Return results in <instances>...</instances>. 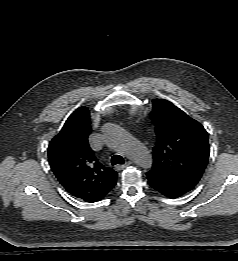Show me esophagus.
<instances>
[{
	"mask_svg": "<svg viewBox=\"0 0 238 261\" xmlns=\"http://www.w3.org/2000/svg\"><path fill=\"white\" fill-rule=\"evenodd\" d=\"M132 163L130 161L126 162L125 164L123 165H116L115 166V170L116 171H120V170H123L124 168L128 167L129 165H131Z\"/></svg>",
	"mask_w": 238,
	"mask_h": 261,
	"instance_id": "1",
	"label": "esophagus"
}]
</instances>
